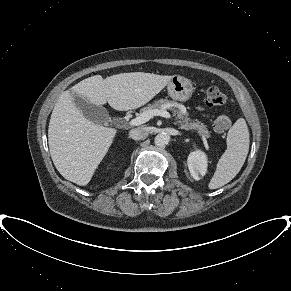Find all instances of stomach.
<instances>
[{"mask_svg":"<svg viewBox=\"0 0 291 291\" xmlns=\"http://www.w3.org/2000/svg\"><path fill=\"white\" fill-rule=\"evenodd\" d=\"M167 90L173 100L186 102L192 96L193 86L189 79L180 75H174L167 84Z\"/></svg>","mask_w":291,"mask_h":291,"instance_id":"obj_1","label":"stomach"}]
</instances>
